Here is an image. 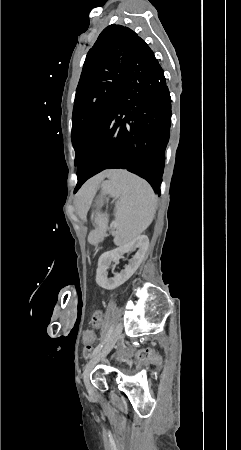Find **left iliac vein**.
<instances>
[{
	"label": "left iliac vein",
	"mask_w": 241,
	"mask_h": 450,
	"mask_svg": "<svg viewBox=\"0 0 241 450\" xmlns=\"http://www.w3.org/2000/svg\"><path fill=\"white\" fill-rule=\"evenodd\" d=\"M122 330H123V324L119 323L115 327L112 336L109 338V340L107 341L105 346L84 367L83 380H84L86 389L90 395L93 394V388L90 383L91 372L93 371L95 366L109 354V352L113 349L115 344L122 338L121 337Z\"/></svg>",
	"instance_id": "4c4485c4"
}]
</instances>
